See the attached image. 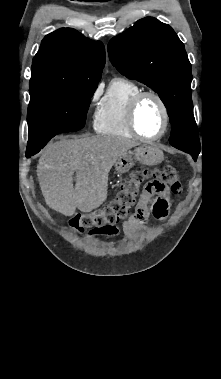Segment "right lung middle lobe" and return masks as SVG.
I'll return each instance as SVG.
<instances>
[{
  "instance_id": "dd1d6c3e",
  "label": "right lung middle lobe",
  "mask_w": 221,
  "mask_h": 379,
  "mask_svg": "<svg viewBox=\"0 0 221 379\" xmlns=\"http://www.w3.org/2000/svg\"><path fill=\"white\" fill-rule=\"evenodd\" d=\"M96 88L94 85H76L30 95L28 146L44 147L59 133L82 129Z\"/></svg>"
}]
</instances>
